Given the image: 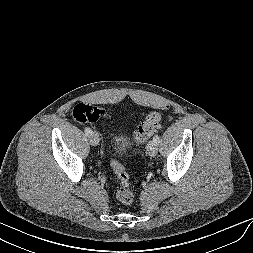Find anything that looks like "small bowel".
Wrapping results in <instances>:
<instances>
[{"mask_svg": "<svg viewBox=\"0 0 253 253\" xmlns=\"http://www.w3.org/2000/svg\"><path fill=\"white\" fill-rule=\"evenodd\" d=\"M96 110V118L93 122H96L99 118H109V113L107 110L102 109V108H95Z\"/></svg>", "mask_w": 253, "mask_h": 253, "instance_id": "1", "label": "small bowel"}]
</instances>
